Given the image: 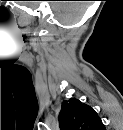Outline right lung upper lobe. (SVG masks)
Segmentation results:
<instances>
[{"instance_id":"cb5924a9","label":"right lung upper lobe","mask_w":123,"mask_h":130,"mask_svg":"<svg viewBox=\"0 0 123 130\" xmlns=\"http://www.w3.org/2000/svg\"><path fill=\"white\" fill-rule=\"evenodd\" d=\"M59 126L63 130H102L104 128L93 108L77 99L63 102L59 114Z\"/></svg>"}]
</instances>
